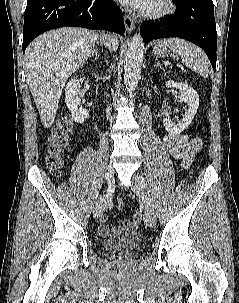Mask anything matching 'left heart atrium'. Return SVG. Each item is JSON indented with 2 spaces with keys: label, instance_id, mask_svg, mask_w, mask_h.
Instances as JSON below:
<instances>
[{
  "label": "left heart atrium",
  "instance_id": "1",
  "mask_svg": "<svg viewBox=\"0 0 239 303\" xmlns=\"http://www.w3.org/2000/svg\"><path fill=\"white\" fill-rule=\"evenodd\" d=\"M120 1L132 6L135 9L142 11L146 10L149 7L150 3L152 2V0H120Z\"/></svg>",
  "mask_w": 239,
  "mask_h": 303
}]
</instances>
